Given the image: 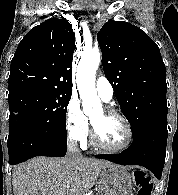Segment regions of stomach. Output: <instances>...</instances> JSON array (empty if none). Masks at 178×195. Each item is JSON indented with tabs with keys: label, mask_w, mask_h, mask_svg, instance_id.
Here are the masks:
<instances>
[{
	"label": "stomach",
	"mask_w": 178,
	"mask_h": 195,
	"mask_svg": "<svg viewBox=\"0 0 178 195\" xmlns=\"http://www.w3.org/2000/svg\"><path fill=\"white\" fill-rule=\"evenodd\" d=\"M134 176L128 168L112 166L102 171L99 195H133Z\"/></svg>",
	"instance_id": "obj_1"
}]
</instances>
